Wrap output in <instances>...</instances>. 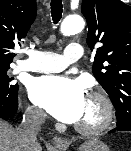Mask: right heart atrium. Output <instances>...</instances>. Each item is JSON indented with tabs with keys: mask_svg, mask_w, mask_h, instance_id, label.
I'll list each match as a JSON object with an SVG mask.
<instances>
[{
	"mask_svg": "<svg viewBox=\"0 0 131 151\" xmlns=\"http://www.w3.org/2000/svg\"><path fill=\"white\" fill-rule=\"evenodd\" d=\"M27 114L33 118H39L41 115L37 109H35L34 107H31V106H29L27 108Z\"/></svg>",
	"mask_w": 131,
	"mask_h": 151,
	"instance_id": "right-heart-atrium-1",
	"label": "right heart atrium"
}]
</instances>
